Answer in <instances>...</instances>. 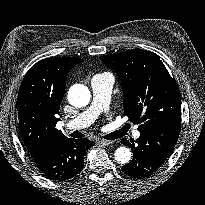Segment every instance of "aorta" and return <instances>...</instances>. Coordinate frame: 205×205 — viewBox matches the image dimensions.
<instances>
[{
	"instance_id": "obj_1",
	"label": "aorta",
	"mask_w": 205,
	"mask_h": 205,
	"mask_svg": "<svg viewBox=\"0 0 205 205\" xmlns=\"http://www.w3.org/2000/svg\"><path fill=\"white\" fill-rule=\"evenodd\" d=\"M90 91L83 84H75L68 91V101L77 108L85 107L90 101ZM115 160L120 164H127L131 160L130 150L123 146L115 150Z\"/></svg>"
}]
</instances>
